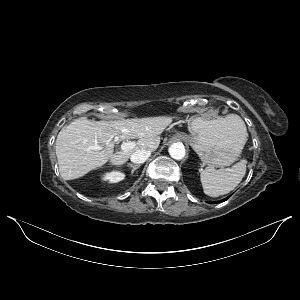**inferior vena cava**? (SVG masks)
<instances>
[{
  "label": "inferior vena cava",
  "instance_id": "1",
  "mask_svg": "<svg viewBox=\"0 0 300 300\" xmlns=\"http://www.w3.org/2000/svg\"><path fill=\"white\" fill-rule=\"evenodd\" d=\"M151 155L150 150L139 149L136 150L130 157L131 161L136 164L144 163Z\"/></svg>",
  "mask_w": 300,
  "mask_h": 300
}]
</instances>
